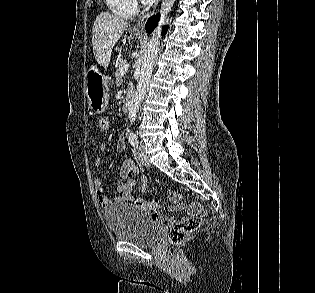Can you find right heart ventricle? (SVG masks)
Listing matches in <instances>:
<instances>
[{
  "instance_id": "obj_1",
  "label": "right heart ventricle",
  "mask_w": 315,
  "mask_h": 293,
  "mask_svg": "<svg viewBox=\"0 0 315 293\" xmlns=\"http://www.w3.org/2000/svg\"><path fill=\"white\" fill-rule=\"evenodd\" d=\"M105 3L117 17L128 19L136 14L135 0H105Z\"/></svg>"
}]
</instances>
